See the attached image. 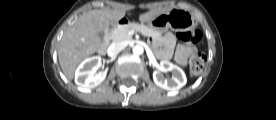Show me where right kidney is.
Segmentation results:
<instances>
[{
  "instance_id": "ca27d5eb",
  "label": "right kidney",
  "mask_w": 276,
  "mask_h": 120,
  "mask_svg": "<svg viewBox=\"0 0 276 120\" xmlns=\"http://www.w3.org/2000/svg\"><path fill=\"white\" fill-rule=\"evenodd\" d=\"M101 64L100 56L86 58L75 71V83L83 89H92L106 78L107 70L96 73Z\"/></svg>"
}]
</instances>
